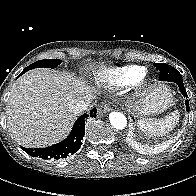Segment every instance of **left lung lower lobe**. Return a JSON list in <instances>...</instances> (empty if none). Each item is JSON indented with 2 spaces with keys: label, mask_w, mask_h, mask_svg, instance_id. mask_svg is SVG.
Here are the masks:
<instances>
[{
  "label": "left lung lower lobe",
  "mask_w": 196,
  "mask_h": 196,
  "mask_svg": "<svg viewBox=\"0 0 196 196\" xmlns=\"http://www.w3.org/2000/svg\"><path fill=\"white\" fill-rule=\"evenodd\" d=\"M161 70L162 77L160 80L162 81H171L176 83L179 86L180 92L184 96V98H187L188 95L186 93V90L183 85L182 77L178 76L175 73V69L172 68V66L168 64H162V66H157ZM186 109L189 111V101L186 100Z\"/></svg>",
  "instance_id": "1"
}]
</instances>
